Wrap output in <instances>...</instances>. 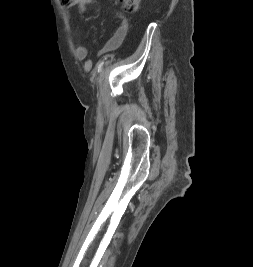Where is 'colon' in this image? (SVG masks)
Returning a JSON list of instances; mask_svg holds the SVG:
<instances>
[{
    "label": "colon",
    "instance_id": "5ec220e1",
    "mask_svg": "<svg viewBox=\"0 0 253 267\" xmlns=\"http://www.w3.org/2000/svg\"><path fill=\"white\" fill-rule=\"evenodd\" d=\"M91 0H61L65 6H73L77 3H85ZM124 6V10L128 13H134L139 9L141 0H121Z\"/></svg>",
    "mask_w": 253,
    "mask_h": 267
}]
</instances>
